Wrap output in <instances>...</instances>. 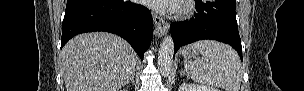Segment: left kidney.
I'll return each mask as SVG.
<instances>
[{
    "label": "left kidney",
    "mask_w": 304,
    "mask_h": 91,
    "mask_svg": "<svg viewBox=\"0 0 304 91\" xmlns=\"http://www.w3.org/2000/svg\"><path fill=\"white\" fill-rule=\"evenodd\" d=\"M178 91H219L209 85L181 84Z\"/></svg>",
    "instance_id": "left-kidney-1"
}]
</instances>
